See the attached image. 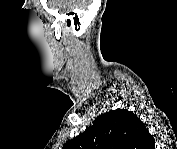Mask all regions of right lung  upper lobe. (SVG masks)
<instances>
[{"instance_id":"right-lung-upper-lobe-1","label":"right lung upper lobe","mask_w":177,"mask_h":149,"mask_svg":"<svg viewBox=\"0 0 177 149\" xmlns=\"http://www.w3.org/2000/svg\"><path fill=\"white\" fill-rule=\"evenodd\" d=\"M146 125L131 111L111 110L68 141L63 149H153Z\"/></svg>"}]
</instances>
